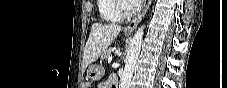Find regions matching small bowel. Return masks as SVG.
Returning a JSON list of instances; mask_svg holds the SVG:
<instances>
[{
	"label": "small bowel",
	"instance_id": "obj_1",
	"mask_svg": "<svg viewBox=\"0 0 227 88\" xmlns=\"http://www.w3.org/2000/svg\"><path fill=\"white\" fill-rule=\"evenodd\" d=\"M116 79L115 76L110 77L108 80H106L105 82H102L98 85L99 88H113L112 85V80Z\"/></svg>",
	"mask_w": 227,
	"mask_h": 88
}]
</instances>
